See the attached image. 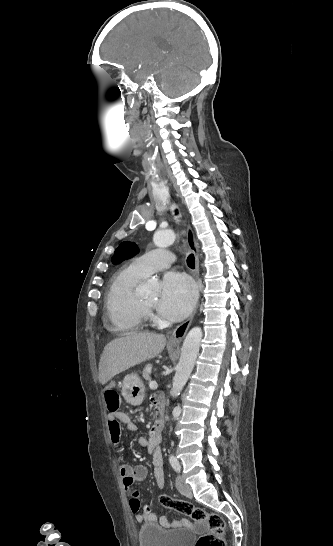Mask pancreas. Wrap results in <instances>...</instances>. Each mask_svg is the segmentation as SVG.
Instances as JSON below:
<instances>
[{"label": "pancreas", "mask_w": 333, "mask_h": 546, "mask_svg": "<svg viewBox=\"0 0 333 546\" xmlns=\"http://www.w3.org/2000/svg\"><path fill=\"white\" fill-rule=\"evenodd\" d=\"M152 367L153 366L151 364H148L143 368L142 376L146 381L151 379L150 374H151Z\"/></svg>", "instance_id": "1"}]
</instances>
